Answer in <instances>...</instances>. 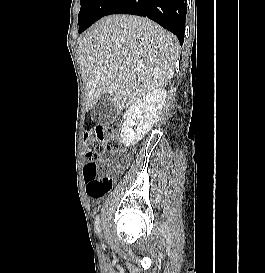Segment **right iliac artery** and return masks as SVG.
<instances>
[{
  "label": "right iliac artery",
  "instance_id": "obj_1",
  "mask_svg": "<svg viewBox=\"0 0 265 273\" xmlns=\"http://www.w3.org/2000/svg\"><path fill=\"white\" fill-rule=\"evenodd\" d=\"M99 224H100V220H99V217H97L96 221H95V228H96V232L98 234H100V232H101Z\"/></svg>",
  "mask_w": 265,
  "mask_h": 273
}]
</instances>
